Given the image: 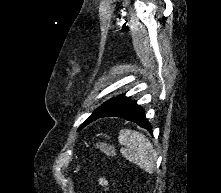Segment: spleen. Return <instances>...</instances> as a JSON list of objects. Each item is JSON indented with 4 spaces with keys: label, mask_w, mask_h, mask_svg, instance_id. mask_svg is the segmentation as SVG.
<instances>
[{
    "label": "spleen",
    "mask_w": 221,
    "mask_h": 193,
    "mask_svg": "<svg viewBox=\"0 0 221 193\" xmlns=\"http://www.w3.org/2000/svg\"><path fill=\"white\" fill-rule=\"evenodd\" d=\"M118 141L125 148L122 155L148 173H153L156 167V153L151 142L145 135L137 131L124 129L119 132Z\"/></svg>",
    "instance_id": "3e777b00"
}]
</instances>
